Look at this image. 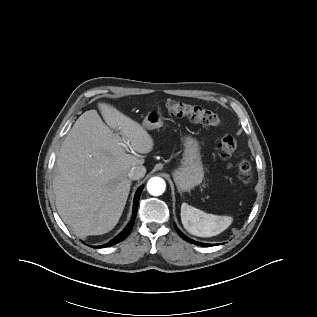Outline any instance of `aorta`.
<instances>
[{
	"mask_svg": "<svg viewBox=\"0 0 317 317\" xmlns=\"http://www.w3.org/2000/svg\"><path fill=\"white\" fill-rule=\"evenodd\" d=\"M166 188L165 181L160 177H152L147 183V190L153 196H160Z\"/></svg>",
	"mask_w": 317,
	"mask_h": 317,
	"instance_id": "762f6f07",
	"label": "aorta"
}]
</instances>
